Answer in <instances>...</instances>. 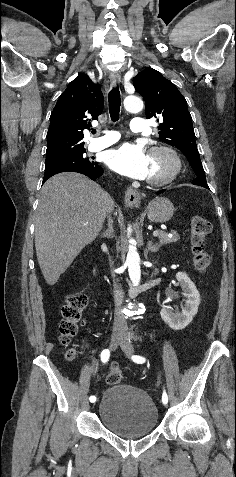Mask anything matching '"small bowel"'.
Here are the masks:
<instances>
[{
  "mask_svg": "<svg viewBox=\"0 0 236 477\" xmlns=\"http://www.w3.org/2000/svg\"><path fill=\"white\" fill-rule=\"evenodd\" d=\"M96 369H97V362H96V359L93 358L92 359V364H91L90 369H89V372L91 374H94L96 372Z\"/></svg>",
  "mask_w": 236,
  "mask_h": 477,
  "instance_id": "small-bowel-1",
  "label": "small bowel"
}]
</instances>
